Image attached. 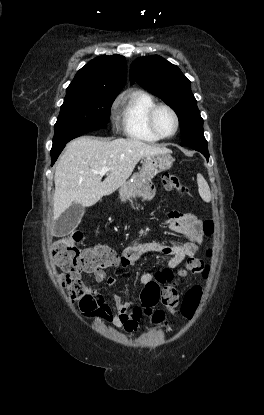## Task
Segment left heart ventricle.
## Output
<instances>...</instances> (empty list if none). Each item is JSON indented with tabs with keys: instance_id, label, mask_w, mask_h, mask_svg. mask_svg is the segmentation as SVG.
<instances>
[{
	"instance_id": "obj_1",
	"label": "left heart ventricle",
	"mask_w": 264,
	"mask_h": 415,
	"mask_svg": "<svg viewBox=\"0 0 264 415\" xmlns=\"http://www.w3.org/2000/svg\"><path fill=\"white\" fill-rule=\"evenodd\" d=\"M157 130L161 135H169L175 129V120L173 115L165 108L157 111L155 116Z\"/></svg>"
}]
</instances>
